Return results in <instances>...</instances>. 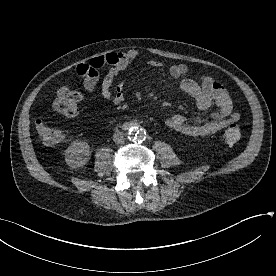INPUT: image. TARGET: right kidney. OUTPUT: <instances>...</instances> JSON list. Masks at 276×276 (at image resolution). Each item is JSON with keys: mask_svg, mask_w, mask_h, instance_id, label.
I'll return each instance as SVG.
<instances>
[{"mask_svg": "<svg viewBox=\"0 0 276 276\" xmlns=\"http://www.w3.org/2000/svg\"><path fill=\"white\" fill-rule=\"evenodd\" d=\"M90 159V146L84 141H74L65 150V161L72 167H82Z\"/></svg>", "mask_w": 276, "mask_h": 276, "instance_id": "obj_1", "label": "right kidney"}]
</instances>
